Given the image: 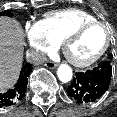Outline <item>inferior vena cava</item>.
<instances>
[{"label": "inferior vena cava", "mask_w": 117, "mask_h": 117, "mask_svg": "<svg viewBox=\"0 0 117 117\" xmlns=\"http://www.w3.org/2000/svg\"><path fill=\"white\" fill-rule=\"evenodd\" d=\"M26 58L28 62L38 65L46 61V54L39 49H32L27 52Z\"/></svg>", "instance_id": "602c4592"}]
</instances>
